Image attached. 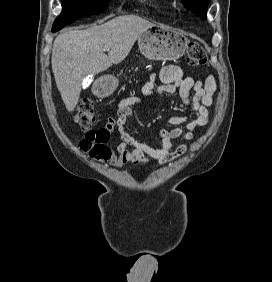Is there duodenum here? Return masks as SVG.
<instances>
[{
  "mask_svg": "<svg viewBox=\"0 0 272 282\" xmlns=\"http://www.w3.org/2000/svg\"><path fill=\"white\" fill-rule=\"evenodd\" d=\"M108 84H109L108 81H104V82L98 84V85L95 87V89H96V91L99 92V93L106 92L107 89H108Z\"/></svg>",
  "mask_w": 272,
  "mask_h": 282,
  "instance_id": "410a0bca",
  "label": "duodenum"
}]
</instances>
